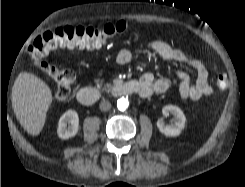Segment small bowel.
<instances>
[{
    "mask_svg": "<svg viewBox=\"0 0 245 187\" xmlns=\"http://www.w3.org/2000/svg\"><path fill=\"white\" fill-rule=\"evenodd\" d=\"M148 45L161 58L186 64L195 70V79L185 71H175V77L179 82V98L181 100H198L212 94L213 90L208 80V71L199 59L189 56L161 38L150 40ZM115 60L120 65H127L132 60V52L129 49H121L116 54ZM100 74L101 72L98 73V75ZM139 82L142 86V97L164 93L171 85L167 78H155L151 73L143 74L139 78Z\"/></svg>",
    "mask_w": 245,
    "mask_h": 187,
    "instance_id": "obj_1",
    "label": "small bowel"
}]
</instances>
